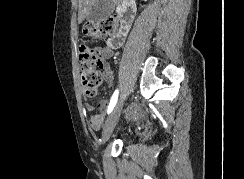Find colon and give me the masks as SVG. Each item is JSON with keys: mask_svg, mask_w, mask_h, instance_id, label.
I'll return each instance as SVG.
<instances>
[{"mask_svg": "<svg viewBox=\"0 0 244 179\" xmlns=\"http://www.w3.org/2000/svg\"><path fill=\"white\" fill-rule=\"evenodd\" d=\"M115 27V20L104 19L98 22L85 24L82 28V33L88 38H99L112 34ZM78 55L83 91L86 96L95 97L98 93L103 76L102 68L98 61V55L88 44L80 46ZM96 121V118H92L91 124L94 125Z\"/></svg>", "mask_w": 244, "mask_h": 179, "instance_id": "obj_1", "label": "colon"}]
</instances>
